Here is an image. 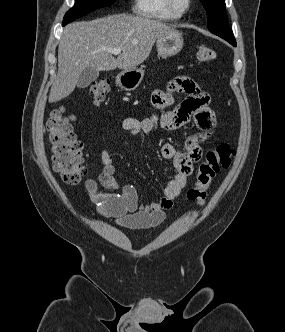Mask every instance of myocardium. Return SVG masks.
Returning <instances> with one entry per match:
<instances>
[{
	"label": "myocardium",
	"mask_w": 285,
	"mask_h": 332,
	"mask_svg": "<svg viewBox=\"0 0 285 332\" xmlns=\"http://www.w3.org/2000/svg\"><path fill=\"white\" fill-rule=\"evenodd\" d=\"M168 8L177 16H184L191 8L193 0H186V5L183 8H180L175 0H165Z\"/></svg>",
	"instance_id": "myocardium-1"
}]
</instances>
